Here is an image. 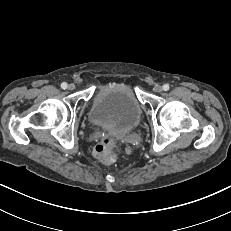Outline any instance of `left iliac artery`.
Instances as JSON below:
<instances>
[{
  "mask_svg": "<svg viewBox=\"0 0 231 231\" xmlns=\"http://www.w3.org/2000/svg\"><path fill=\"white\" fill-rule=\"evenodd\" d=\"M169 88H170V87H169V85H168V84H164V85H163V90H164V91H168V90H169Z\"/></svg>",
  "mask_w": 231,
  "mask_h": 231,
  "instance_id": "obj_1",
  "label": "left iliac artery"
}]
</instances>
